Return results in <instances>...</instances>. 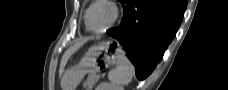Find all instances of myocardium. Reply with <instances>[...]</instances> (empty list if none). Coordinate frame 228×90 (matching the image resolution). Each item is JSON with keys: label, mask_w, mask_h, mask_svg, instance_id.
<instances>
[{"label": "myocardium", "mask_w": 228, "mask_h": 90, "mask_svg": "<svg viewBox=\"0 0 228 90\" xmlns=\"http://www.w3.org/2000/svg\"><path fill=\"white\" fill-rule=\"evenodd\" d=\"M106 5L108 6L111 10H112V18L110 20V22L101 30H94L90 27V24H89V15H90V12L91 10L97 6V5ZM119 8L118 6L116 5V3L114 1H110V0H96L94 1L89 7L88 9L86 10V14H85V25L87 27V29L93 33H104L106 32L107 30H109L118 20L119 18Z\"/></svg>", "instance_id": "myocardium-1"}]
</instances>
